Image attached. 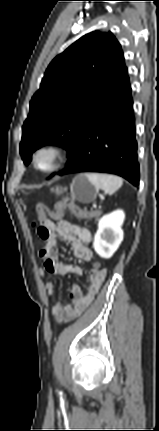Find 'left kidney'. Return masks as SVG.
Masks as SVG:
<instances>
[{
	"label": "left kidney",
	"mask_w": 159,
	"mask_h": 431,
	"mask_svg": "<svg viewBox=\"0 0 159 431\" xmlns=\"http://www.w3.org/2000/svg\"><path fill=\"white\" fill-rule=\"evenodd\" d=\"M125 214L122 210H116L104 215L98 223V230L94 236L93 247L102 258L108 259L116 252L123 240L121 226Z\"/></svg>",
	"instance_id": "1"
}]
</instances>
